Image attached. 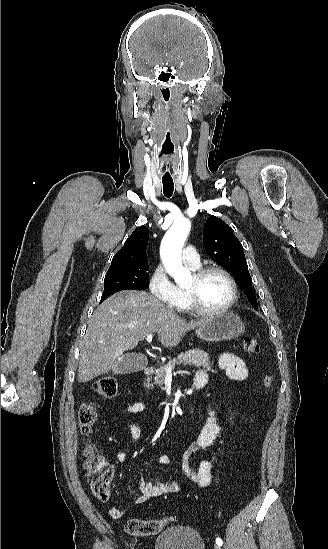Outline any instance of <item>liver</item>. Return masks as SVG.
I'll list each match as a JSON object with an SVG mask.
<instances>
[{
	"label": "liver",
	"mask_w": 328,
	"mask_h": 549,
	"mask_svg": "<svg viewBox=\"0 0 328 549\" xmlns=\"http://www.w3.org/2000/svg\"><path fill=\"white\" fill-rule=\"evenodd\" d=\"M205 319L186 321L153 295L144 291H120L94 311L80 343L79 383H87L116 367L125 351L135 349L147 335L157 333L164 347H176L188 331Z\"/></svg>",
	"instance_id": "6515ba94"
}]
</instances>
